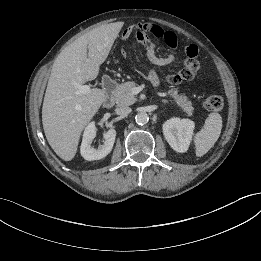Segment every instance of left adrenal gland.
<instances>
[{
	"mask_svg": "<svg viewBox=\"0 0 261 261\" xmlns=\"http://www.w3.org/2000/svg\"><path fill=\"white\" fill-rule=\"evenodd\" d=\"M162 102H163L164 104L168 103V102H167V101H165V100H163Z\"/></svg>",
	"mask_w": 261,
	"mask_h": 261,
	"instance_id": "left-adrenal-gland-1",
	"label": "left adrenal gland"
}]
</instances>
